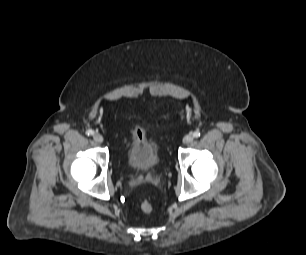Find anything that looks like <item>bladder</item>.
<instances>
[{"mask_svg": "<svg viewBox=\"0 0 306 255\" xmlns=\"http://www.w3.org/2000/svg\"><path fill=\"white\" fill-rule=\"evenodd\" d=\"M126 160L130 168L139 172H150L160 161L158 144L147 137L133 139L127 146Z\"/></svg>", "mask_w": 306, "mask_h": 255, "instance_id": "1", "label": "bladder"}]
</instances>
